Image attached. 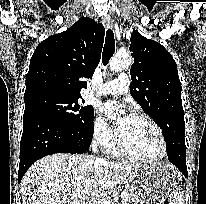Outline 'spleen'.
<instances>
[{
    "instance_id": "3e777b00",
    "label": "spleen",
    "mask_w": 206,
    "mask_h": 204,
    "mask_svg": "<svg viewBox=\"0 0 206 204\" xmlns=\"http://www.w3.org/2000/svg\"><path fill=\"white\" fill-rule=\"evenodd\" d=\"M169 204H183V192L180 190L174 191L170 195Z\"/></svg>"
}]
</instances>
